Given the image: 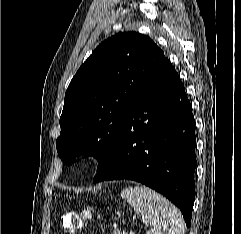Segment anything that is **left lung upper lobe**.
Segmentation results:
<instances>
[{
  "label": "left lung upper lobe",
  "mask_w": 241,
  "mask_h": 234,
  "mask_svg": "<svg viewBox=\"0 0 241 234\" xmlns=\"http://www.w3.org/2000/svg\"><path fill=\"white\" fill-rule=\"evenodd\" d=\"M146 35L118 33L103 41L71 80L56 140L67 165L77 156H94L98 171L111 154L138 93L164 59Z\"/></svg>",
  "instance_id": "obj_1"
}]
</instances>
